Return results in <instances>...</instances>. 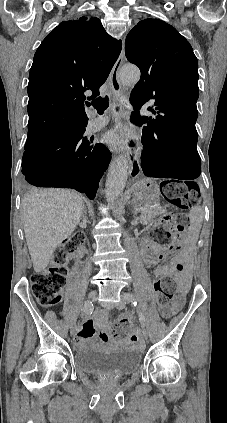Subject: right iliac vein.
I'll use <instances>...</instances> for the list:
<instances>
[{
    "label": "right iliac vein",
    "instance_id": "1",
    "mask_svg": "<svg viewBox=\"0 0 227 423\" xmlns=\"http://www.w3.org/2000/svg\"><path fill=\"white\" fill-rule=\"evenodd\" d=\"M96 296H97V291L96 290H91L90 292H89V294H88V298L89 299H95L96 298ZM76 323V322H75ZM73 324L72 326H71V334L72 335H74V334H76V324Z\"/></svg>",
    "mask_w": 227,
    "mask_h": 423
}]
</instances>
